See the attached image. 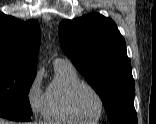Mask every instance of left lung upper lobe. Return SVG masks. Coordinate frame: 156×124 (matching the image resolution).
I'll list each match as a JSON object with an SVG mask.
<instances>
[{"label":"left lung upper lobe","instance_id":"1","mask_svg":"<svg viewBox=\"0 0 156 124\" xmlns=\"http://www.w3.org/2000/svg\"><path fill=\"white\" fill-rule=\"evenodd\" d=\"M62 49L102 99L110 124H137L135 82L116 24L98 13L59 24Z\"/></svg>","mask_w":156,"mask_h":124}]
</instances>
